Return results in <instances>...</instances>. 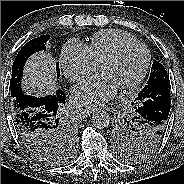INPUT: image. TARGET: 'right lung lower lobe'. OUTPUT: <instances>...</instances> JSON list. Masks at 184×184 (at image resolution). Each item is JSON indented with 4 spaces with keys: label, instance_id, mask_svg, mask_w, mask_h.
Wrapping results in <instances>:
<instances>
[{
    "label": "right lung lower lobe",
    "instance_id": "1",
    "mask_svg": "<svg viewBox=\"0 0 184 184\" xmlns=\"http://www.w3.org/2000/svg\"><path fill=\"white\" fill-rule=\"evenodd\" d=\"M14 122L23 143H46L49 141L48 121L62 112L66 95L58 89L56 94L34 97L20 92L11 98Z\"/></svg>",
    "mask_w": 184,
    "mask_h": 184
}]
</instances>
